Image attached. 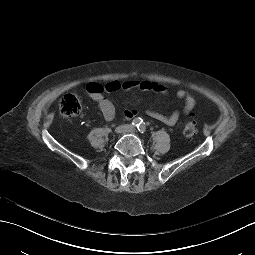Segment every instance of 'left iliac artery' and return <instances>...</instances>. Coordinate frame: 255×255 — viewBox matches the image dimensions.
I'll use <instances>...</instances> for the list:
<instances>
[{
	"label": "left iliac artery",
	"mask_w": 255,
	"mask_h": 255,
	"mask_svg": "<svg viewBox=\"0 0 255 255\" xmlns=\"http://www.w3.org/2000/svg\"><path fill=\"white\" fill-rule=\"evenodd\" d=\"M138 131H139L140 133H142V134L145 133V131H146L145 123H141V124L139 125Z\"/></svg>",
	"instance_id": "44dca946"
}]
</instances>
